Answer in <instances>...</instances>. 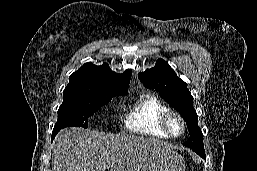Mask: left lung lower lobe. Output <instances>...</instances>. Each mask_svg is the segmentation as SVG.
<instances>
[{"instance_id":"1","label":"left lung lower lobe","mask_w":257,"mask_h":171,"mask_svg":"<svg viewBox=\"0 0 257 171\" xmlns=\"http://www.w3.org/2000/svg\"><path fill=\"white\" fill-rule=\"evenodd\" d=\"M193 151L196 152L198 155H200L202 158L206 159V154H205V150L204 149L193 150Z\"/></svg>"}]
</instances>
